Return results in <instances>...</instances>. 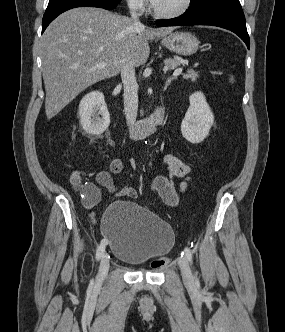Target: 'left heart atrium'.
Segmentation results:
<instances>
[{"instance_id": "obj_1", "label": "left heart atrium", "mask_w": 285, "mask_h": 332, "mask_svg": "<svg viewBox=\"0 0 285 332\" xmlns=\"http://www.w3.org/2000/svg\"><path fill=\"white\" fill-rule=\"evenodd\" d=\"M160 0H150L153 6H156Z\"/></svg>"}]
</instances>
